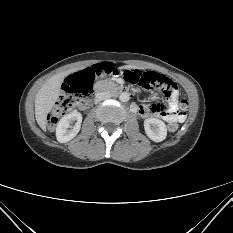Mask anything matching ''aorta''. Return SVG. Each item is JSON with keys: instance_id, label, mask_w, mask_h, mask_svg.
<instances>
[{"instance_id": "1", "label": "aorta", "mask_w": 233, "mask_h": 233, "mask_svg": "<svg viewBox=\"0 0 233 233\" xmlns=\"http://www.w3.org/2000/svg\"><path fill=\"white\" fill-rule=\"evenodd\" d=\"M121 102H127L130 99V94L128 92H122L119 96Z\"/></svg>"}]
</instances>
